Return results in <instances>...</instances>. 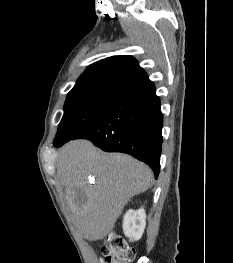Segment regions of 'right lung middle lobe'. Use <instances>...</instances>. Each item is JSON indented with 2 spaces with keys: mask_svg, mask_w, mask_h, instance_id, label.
Returning <instances> with one entry per match:
<instances>
[{
  "mask_svg": "<svg viewBox=\"0 0 233 263\" xmlns=\"http://www.w3.org/2000/svg\"><path fill=\"white\" fill-rule=\"evenodd\" d=\"M118 95L104 93L68 95L55 140H68L96 122Z\"/></svg>",
  "mask_w": 233,
  "mask_h": 263,
  "instance_id": "dd1d6c3e",
  "label": "right lung middle lobe"
}]
</instances>
